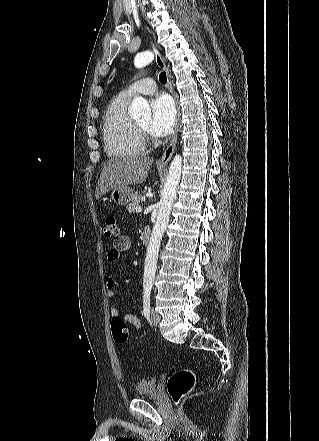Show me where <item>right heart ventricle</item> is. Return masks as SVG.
I'll use <instances>...</instances> for the list:
<instances>
[{"instance_id": "e07e8e85", "label": "right heart ventricle", "mask_w": 319, "mask_h": 441, "mask_svg": "<svg viewBox=\"0 0 319 441\" xmlns=\"http://www.w3.org/2000/svg\"><path fill=\"white\" fill-rule=\"evenodd\" d=\"M129 99L118 95L109 104L103 121V140L111 157H133L143 153L145 143L137 124L128 116Z\"/></svg>"}]
</instances>
